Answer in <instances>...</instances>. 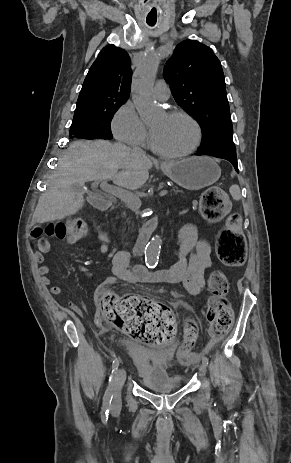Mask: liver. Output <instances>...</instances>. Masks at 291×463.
Masks as SVG:
<instances>
[{"instance_id": "1", "label": "liver", "mask_w": 291, "mask_h": 463, "mask_svg": "<svg viewBox=\"0 0 291 463\" xmlns=\"http://www.w3.org/2000/svg\"><path fill=\"white\" fill-rule=\"evenodd\" d=\"M154 163L143 151L120 143L75 141L60 158L32 222L61 220L77 213L84 205L81 188L88 181L111 179L118 186L136 190L146 183Z\"/></svg>"}]
</instances>
